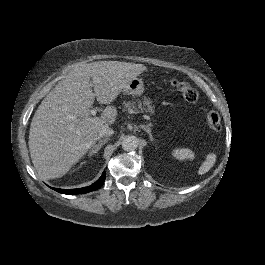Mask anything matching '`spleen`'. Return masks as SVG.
Returning a JSON list of instances; mask_svg holds the SVG:
<instances>
[{"instance_id":"1","label":"spleen","mask_w":265,"mask_h":265,"mask_svg":"<svg viewBox=\"0 0 265 265\" xmlns=\"http://www.w3.org/2000/svg\"><path fill=\"white\" fill-rule=\"evenodd\" d=\"M172 156L181 161L185 159L193 160L195 157L194 152L188 148H176L172 151ZM215 161L216 155L208 154L206 160L200 166L198 174L203 175L207 173L213 167Z\"/></svg>"}]
</instances>
